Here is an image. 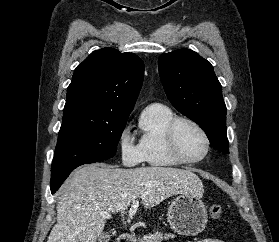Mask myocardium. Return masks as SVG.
Masks as SVG:
<instances>
[{
  "instance_id": "f54148a6",
  "label": "myocardium",
  "mask_w": 279,
  "mask_h": 242,
  "mask_svg": "<svg viewBox=\"0 0 279 242\" xmlns=\"http://www.w3.org/2000/svg\"><path fill=\"white\" fill-rule=\"evenodd\" d=\"M182 123H186V124L193 126L202 135V137L205 141V152L203 153L202 156L191 159V158L186 157L181 152V150L178 146L176 134H177V129H178L179 125ZM165 138H166V144H167L168 150L171 153V155L177 161H179L180 163H183V164L199 163L202 160H204L210 152L211 141H210L208 133L206 132V130L203 128L202 125H200L197 121H195L191 118H188V117H175L167 126Z\"/></svg>"
}]
</instances>
